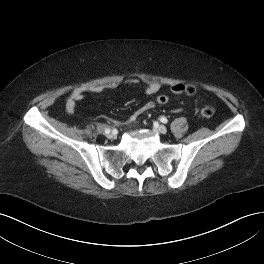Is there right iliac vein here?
Instances as JSON below:
<instances>
[{
    "label": "right iliac vein",
    "instance_id": "right-iliac-vein-1",
    "mask_svg": "<svg viewBox=\"0 0 264 264\" xmlns=\"http://www.w3.org/2000/svg\"><path fill=\"white\" fill-rule=\"evenodd\" d=\"M113 136H114L113 133H108V134H107V137H108V138H112Z\"/></svg>",
    "mask_w": 264,
    "mask_h": 264
}]
</instances>
